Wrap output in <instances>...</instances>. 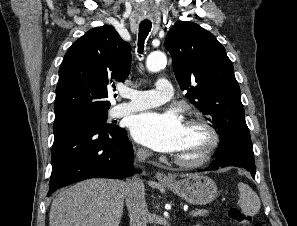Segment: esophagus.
<instances>
[{
	"instance_id": "34e87169",
	"label": "esophagus",
	"mask_w": 297,
	"mask_h": 226,
	"mask_svg": "<svg viewBox=\"0 0 297 226\" xmlns=\"http://www.w3.org/2000/svg\"><path fill=\"white\" fill-rule=\"evenodd\" d=\"M155 177L159 182H170V181H172L171 177L167 176L166 174H164L162 172H157L155 174Z\"/></svg>"
}]
</instances>
